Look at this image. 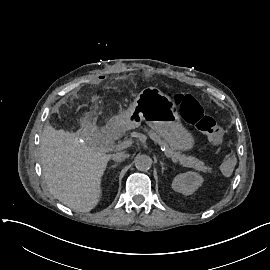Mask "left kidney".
Instances as JSON below:
<instances>
[{
  "label": "left kidney",
  "mask_w": 270,
  "mask_h": 270,
  "mask_svg": "<svg viewBox=\"0 0 270 270\" xmlns=\"http://www.w3.org/2000/svg\"><path fill=\"white\" fill-rule=\"evenodd\" d=\"M204 179L196 172L188 171L178 174L172 182V189L184 195L193 194L203 183Z\"/></svg>",
  "instance_id": "obj_1"
}]
</instances>
